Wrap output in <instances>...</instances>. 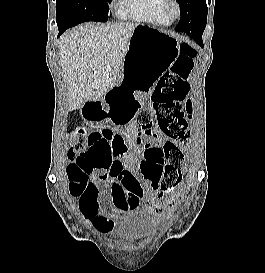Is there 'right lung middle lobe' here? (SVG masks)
I'll list each match as a JSON object with an SVG mask.
<instances>
[{
	"label": "right lung middle lobe",
	"mask_w": 265,
	"mask_h": 273,
	"mask_svg": "<svg viewBox=\"0 0 265 273\" xmlns=\"http://www.w3.org/2000/svg\"><path fill=\"white\" fill-rule=\"evenodd\" d=\"M111 0H57L56 21L66 30L86 21L106 22Z\"/></svg>",
	"instance_id": "obj_1"
}]
</instances>
